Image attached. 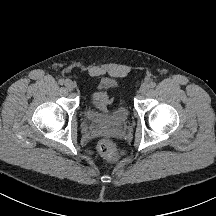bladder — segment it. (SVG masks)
<instances>
[{"label":"bladder","mask_w":216,"mask_h":216,"mask_svg":"<svg viewBox=\"0 0 216 216\" xmlns=\"http://www.w3.org/2000/svg\"><path fill=\"white\" fill-rule=\"evenodd\" d=\"M112 83L102 80L99 86H111ZM85 117L88 121L106 127H121L125 125L129 117V109L127 105L121 104L117 106L113 111L107 114H98L90 106L85 108Z\"/></svg>","instance_id":"31cf9c89"}]
</instances>
